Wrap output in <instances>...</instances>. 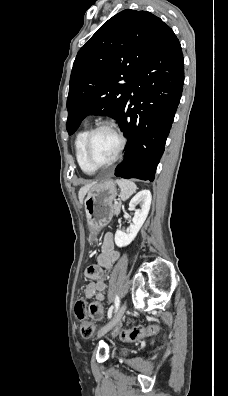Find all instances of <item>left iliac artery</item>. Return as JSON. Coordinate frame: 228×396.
Listing matches in <instances>:
<instances>
[{
    "instance_id": "left-iliac-artery-1",
    "label": "left iliac artery",
    "mask_w": 228,
    "mask_h": 396,
    "mask_svg": "<svg viewBox=\"0 0 228 396\" xmlns=\"http://www.w3.org/2000/svg\"><path fill=\"white\" fill-rule=\"evenodd\" d=\"M119 306H120V298H119V296H116V298H115V310H116V312H117Z\"/></svg>"
}]
</instances>
